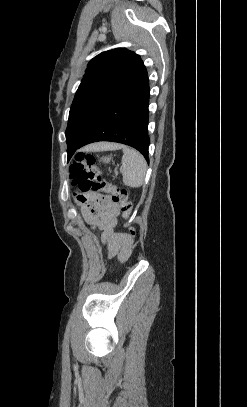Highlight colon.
I'll return each instance as SVG.
<instances>
[{
    "label": "colon",
    "mask_w": 247,
    "mask_h": 407,
    "mask_svg": "<svg viewBox=\"0 0 247 407\" xmlns=\"http://www.w3.org/2000/svg\"><path fill=\"white\" fill-rule=\"evenodd\" d=\"M69 171L74 185L82 194H109L112 201L119 204L122 216L126 220L130 219L132 205L128 199V192L113 186L103 178L102 171L97 166L95 157L92 154H78L70 166ZM78 199L82 202L86 200L82 195L78 196ZM129 232L131 236L136 235L134 227H130Z\"/></svg>",
    "instance_id": "obj_1"
}]
</instances>
